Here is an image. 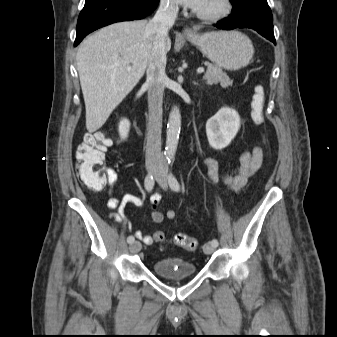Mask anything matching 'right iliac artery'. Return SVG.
<instances>
[{
  "label": "right iliac artery",
  "instance_id": "1",
  "mask_svg": "<svg viewBox=\"0 0 337 337\" xmlns=\"http://www.w3.org/2000/svg\"><path fill=\"white\" fill-rule=\"evenodd\" d=\"M144 185H145V188L148 192L152 191L153 187H154V176L149 173L146 178H145V181H144ZM134 237L131 235V236H128L127 238V242L129 244H131L132 242H134Z\"/></svg>",
  "mask_w": 337,
  "mask_h": 337
}]
</instances>
